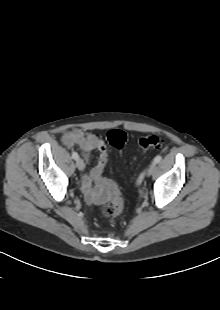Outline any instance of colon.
Listing matches in <instances>:
<instances>
[{
    "label": "colon",
    "instance_id": "5ec220e1",
    "mask_svg": "<svg viewBox=\"0 0 220 310\" xmlns=\"http://www.w3.org/2000/svg\"><path fill=\"white\" fill-rule=\"evenodd\" d=\"M126 139V134L118 129L111 130L106 135L107 143L117 149H121L124 146ZM161 143L162 139L158 135H147L139 140V145L144 151L157 149ZM123 206L124 203L120 195V189L114 184L110 197L102 203V214L107 218H115L120 215Z\"/></svg>",
    "mask_w": 220,
    "mask_h": 310
}]
</instances>
